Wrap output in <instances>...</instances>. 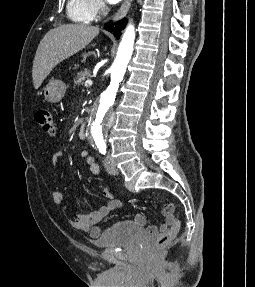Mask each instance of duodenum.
I'll list each match as a JSON object with an SVG mask.
<instances>
[{
	"mask_svg": "<svg viewBox=\"0 0 255 287\" xmlns=\"http://www.w3.org/2000/svg\"><path fill=\"white\" fill-rule=\"evenodd\" d=\"M78 133H79V137L81 139L87 138V126H86V124L80 125Z\"/></svg>",
	"mask_w": 255,
	"mask_h": 287,
	"instance_id": "duodenum-1",
	"label": "duodenum"
}]
</instances>
